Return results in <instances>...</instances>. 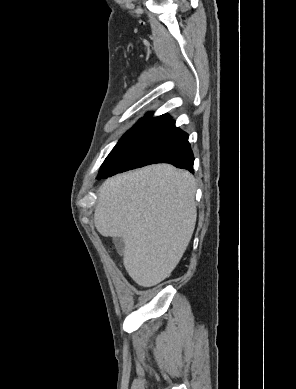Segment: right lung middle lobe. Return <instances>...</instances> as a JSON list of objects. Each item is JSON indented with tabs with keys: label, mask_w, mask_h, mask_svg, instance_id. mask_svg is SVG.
<instances>
[{
	"label": "right lung middle lobe",
	"mask_w": 296,
	"mask_h": 389,
	"mask_svg": "<svg viewBox=\"0 0 296 389\" xmlns=\"http://www.w3.org/2000/svg\"><path fill=\"white\" fill-rule=\"evenodd\" d=\"M175 128V121L172 119L159 117L140 119L113 148L99 173L139 167L146 161L153 147Z\"/></svg>",
	"instance_id": "obj_1"
}]
</instances>
